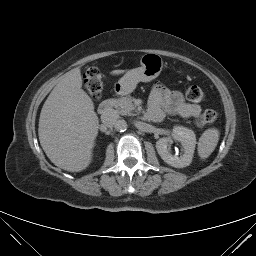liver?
<instances>
[{
  "instance_id": "obj_1",
  "label": "liver",
  "mask_w": 256,
  "mask_h": 256,
  "mask_svg": "<svg viewBox=\"0 0 256 256\" xmlns=\"http://www.w3.org/2000/svg\"><path fill=\"white\" fill-rule=\"evenodd\" d=\"M124 70H113L119 75ZM99 120L94 103L82 89L81 71L64 74L45 101L39 118V140L56 166L80 172L92 161Z\"/></svg>"
}]
</instances>
